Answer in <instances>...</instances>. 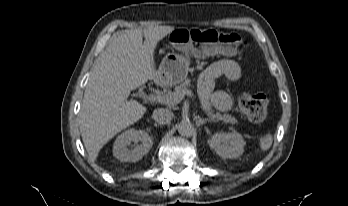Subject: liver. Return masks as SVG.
Returning a JSON list of instances; mask_svg holds the SVG:
<instances>
[{
	"label": "liver",
	"mask_w": 348,
	"mask_h": 206,
	"mask_svg": "<svg viewBox=\"0 0 348 206\" xmlns=\"http://www.w3.org/2000/svg\"><path fill=\"white\" fill-rule=\"evenodd\" d=\"M173 31V26L125 30L113 37L100 56L86 86L79 114L82 140L92 161L110 139L140 120L147 111L128 97L131 90L159 78L154 50Z\"/></svg>",
	"instance_id": "1"
}]
</instances>
